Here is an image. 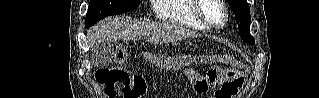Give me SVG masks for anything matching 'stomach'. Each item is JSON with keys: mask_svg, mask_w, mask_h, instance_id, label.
<instances>
[{"mask_svg": "<svg viewBox=\"0 0 319 98\" xmlns=\"http://www.w3.org/2000/svg\"><path fill=\"white\" fill-rule=\"evenodd\" d=\"M187 75L190 82L192 83L193 91L197 92L196 90L199 88V84L196 83V79L191 74L187 73Z\"/></svg>", "mask_w": 319, "mask_h": 98, "instance_id": "1", "label": "stomach"}]
</instances>
